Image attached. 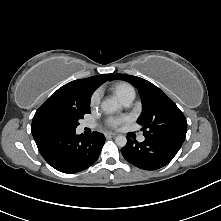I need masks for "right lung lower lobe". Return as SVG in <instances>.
<instances>
[{"label":"right lung lower lobe","mask_w":221,"mask_h":221,"mask_svg":"<svg viewBox=\"0 0 221 221\" xmlns=\"http://www.w3.org/2000/svg\"><path fill=\"white\" fill-rule=\"evenodd\" d=\"M35 142L48 164L60 172L72 174L85 170L98 159L105 137L99 132L84 137L74 130L52 133Z\"/></svg>","instance_id":"obj_1"}]
</instances>
